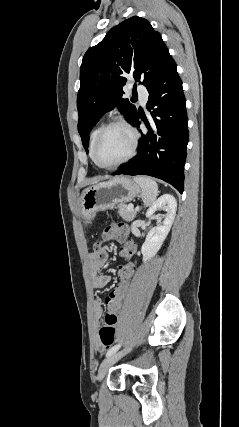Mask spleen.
<instances>
[{"mask_svg": "<svg viewBox=\"0 0 239 427\" xmlns=\"http://www.w3.org/2000/svg\"><path fill=\"white\" fill-rule=\"evenodd\" d=\"M134 181L142 188V200L145 206H151L154 204L158 196V185L150 177L147 176H136Z\"/></svg>", "mask_w": 239, "mask_h": 427, "instance_id": "obj_1", "label": "spleen"}]
</instances>
